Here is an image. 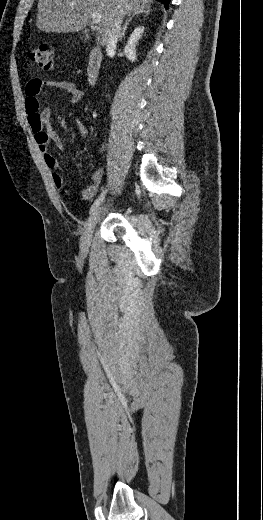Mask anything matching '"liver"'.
<instances>
[{
	"label": "liver",
	"mask_w": 263,
	"mask_h": 520,
	"mask_svg": "<svg viewBox=\"0 0 263 520\" xmlns=\"http://www.w3.org/2000/svg\"><path fill=\"white\" fill-rule=\"evenodd\" d=\"M152 0H39L36 26L51 33L78 32L86 27L91 12L101 15L98 41L106 45L120 9L125 15L150 8ZM73 4V5H71Z\"/></svg>",
	"instance_id": "liver-1"
}]
</instances>
